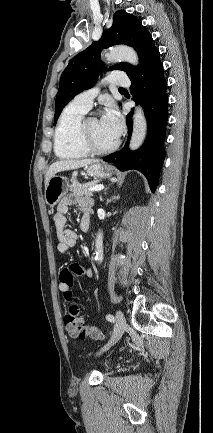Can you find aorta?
<instances>
[{
  "label": "aorta",
  "instance_id": "aorta-1",
  "mask_svg": "<svg viewBox=\"0 0 213 433\" xmlns=\"http://www.w3.org/2000/svg\"><path fill=\"white\" fill-rule=\"evenodd\" d=\"M106 59L110 62L123 60L132 65L138 64V55L134 49L127 46H116L109 50L106 54ZM147 122L144 115V110L141 106H137L133 115V132L130 140V150L138 149L146 136ZM95 255L96 260L101 263L103 261V233L98 232L95 240Z\"/></svg>",
  "mask_w": 213,
  "mask_h": 433
}]
</instances>
